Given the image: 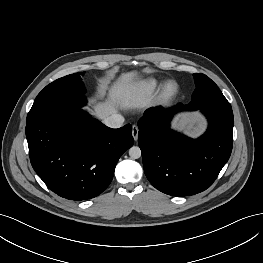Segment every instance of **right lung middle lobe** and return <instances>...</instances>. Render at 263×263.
I'll return each mask as SVG.
<instances>
[{
    "label": "right lung middle lobe",
    "instance_id": "dd1d6c3e",
    "mask_svg": "<svg viewBox=\"0 0 263 263\" xmlns=\"http://www.w3.org/2000/svg\"><path fill=\"white\" fill-rule=\"evenodd\" d=\"M76 73L59 78L47 85L36 97L28 113L26 124L40 118L46 112L65 106L77 109L83 104L86 92L80 75Z\"/></svg>",
    "mask_w": 263,
    "mask_h": 263
}]
</instances>
